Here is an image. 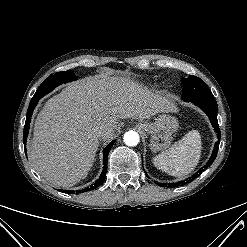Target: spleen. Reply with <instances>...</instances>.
Segmentation results:
<instances>
[{"mask_svg":"<svg viewBox=\"0 0 247 247\" xmlns=\"http://www.w3.org/2000/svg\"><path fill=\"white\" fill-rule=\"evenodd\" d=\"M202 142L197 130L189 131L168 150L153 159L154 166L175 177L188 175L198 165Z\"/></svg>","mask_w":247,"mask_h":247,"instance_id":"obj_1","label":"spleen"}]
</instances>
